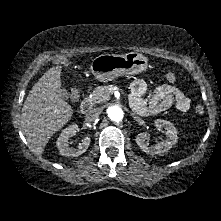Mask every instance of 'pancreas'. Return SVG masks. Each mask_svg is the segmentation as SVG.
Wrapping results in <instances>:
<instances>
[{
	"label": "pancreas",
	"instance_id": "pancreas-1",
	"mask_svg": "<svg viewBox=\"0 0 221 221\" xmlns=\"http://www.w3.org/2000/svg\"><path fill=\"white\" fill-rule=\"evenodd\" d=\"M113 87V85L96 87L92 93V96L88 99L89 102L92 105H96L108 101L110 99Z\"/></svg>",
	"mask_w": 221,
	"mask_h": 221
}]
</instances>
